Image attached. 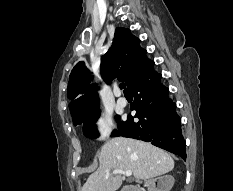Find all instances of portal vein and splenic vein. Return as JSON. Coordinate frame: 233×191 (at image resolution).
I'll use <instances>...</instances> for the list:
<instances>
[{"instance_id":"18ae733b","label":"portal vein and splenic vein","mask_w":233,"mask_h":191,"mask_svg":"<svg viewBox=\"0 0 233 191\" xmlns=\"http://www.w3.org/2000/svg\"><path fill=\"white\" fill-rule=\"evenodd\" d=\"M113 174H123L127 177L131 176L132 175V171L131 170H120V169H116V170H113Z\"/></svg>"}]
</instances>
